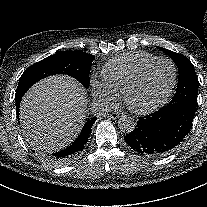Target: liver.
<instances>
[{"instance_id":"6515ba94","label":"liver","mask_w":207,"mask_h":207,"mask_svg":"<svg viewBox=\"0 0 207 207\" xmlns=\"http://www.w3.org/2000/svg\"><path fill=\"white\" fill-rule=\"evenodd\" d=\"M86 99V92L71 77L58 75L39 81L21 101L25 139L41 151L65 148L81 131Z\"/></svg>"}]
</instances>
